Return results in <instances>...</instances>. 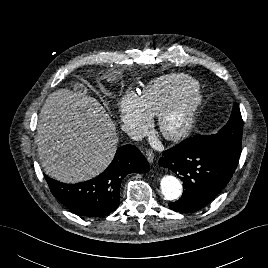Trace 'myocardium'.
I'll return each instance as SVG.
<instances>
[{
  "label": "myocardium",
  "instance_id": "obj_1",
  "mask_svg": "<svg viewBox=\"0 0 268 268\" xmlns=\"http://www.w3.org/2000/svg\"><path fill=\"white\" fill-rule=\"evenodd\" d=\"M203 100L204 95L198 86L189 87L181 91L158 114V132L169 141L184 139L196 122ZM178 112L183 114L182 121L177 126L170 127L168 125L169 120Z\"/></svg>",
  "mask_w": 268,
  "mask_h": 268
}]
</instances>
